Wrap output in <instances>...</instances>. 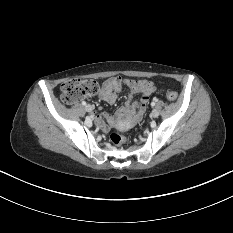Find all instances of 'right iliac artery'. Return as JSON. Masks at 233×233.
I'll return each mask as SVG.
<instances>
[{
  "label": "right iliac artery",
  "instance_id": "1",
  "mask_svg": "<svg viewBox=\"0 0 233 233\" xmlns=\"http://www.w3.org/2000/svg\"><path fill=\"white\" fill-rule=\"evenodd\" d=\"M82 105H84V106H85V105H86V102H85V101H82Z\"/></svg>",
  "mask_w": 233,
  "mask_h": 233
}]
</instances>
